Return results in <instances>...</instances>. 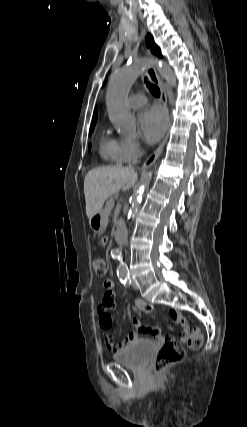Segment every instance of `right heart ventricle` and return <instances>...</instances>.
I'll use <instances>...</instances> for the list:
<instances>
[{"label":"right heart ventricle","mask_w":247,"mask_h":427,"mask_svg":"<svg viewBox=\"0 0 247 427\" xmlns=\"http://www.w3.org/2000/svg\"><path fill=\"white\" fill-rule=\"evenodd\" d=\"M100 154L103 159L111 163H123L126 160L123 140L105 134L100 141Z\"/></svg>","instance_id":"e07e8e85"}]
</instances>
